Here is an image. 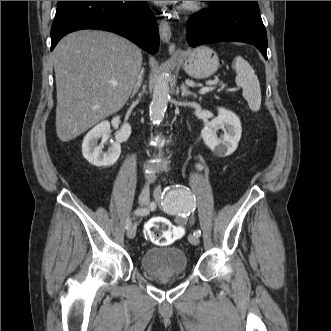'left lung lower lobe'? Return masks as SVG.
I'll return each mask as SVG.
<instances>
[{"label":"left lung lower lobe","instance_id":"0a47b994","mask_svg":"<svg viewBox=\"0 0 331 331\" xmlns=\"http://www.w3.org/2000/svg\"><path fill=\"white\" fill-rule=\"evenodd\" d=\"M209 8L186 24L192 47L213 42L238 41L255 45L267 59V35L257 1H211Z\"/></svg>","mask_w":331,"mask_h":331}]
</instances>
